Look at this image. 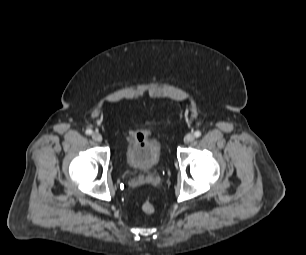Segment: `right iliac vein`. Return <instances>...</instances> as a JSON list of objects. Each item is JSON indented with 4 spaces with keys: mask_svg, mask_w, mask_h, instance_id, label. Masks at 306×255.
Listing matches in <instances>:
<instances>
[{
    "mask_svg": "<svg viewBox=\"0 0 306 255\" xmlns=\"http://www.w3.org/2000/svg\"><path fill=\"white\" fill-rule=\"evenodd\" d=\"M92 138L93 140H95L96 142H101L102 141V135L98 132H94L92 134Z\"/></svg>",
    "mask_w": 306,
    "mask_h": 255,
    "instance_id": "obj_1",
    "label": "right iliac vein"
}]
</instances>
